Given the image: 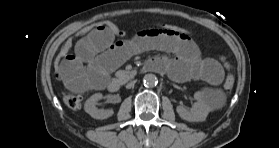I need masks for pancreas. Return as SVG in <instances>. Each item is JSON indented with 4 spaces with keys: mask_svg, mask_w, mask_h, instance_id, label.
I'll use <instances>...</instances> for the list:
<instances>
[{
    "mask_svg": "<svg viewBox=\"0 0 279 148\" xmlns=\"http://www.w3.org/2000/svg\"><path fill=\"white\" fill-rule=\"evenodd\" d=\"M135 74H136V71L119 70L116 72L115 75L120 82L125 83L130 78H133L135 76Z\"/></svg>",
    "mask_w": 279,
    "mask_h": 148,
    "instance_id": "cf45deb5",
    "label": "pancreas"
}]
</instances>
